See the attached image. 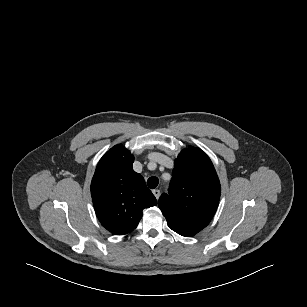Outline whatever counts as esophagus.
<instances>
[{"label": "esophagus", "mask_w": 307, "mask_h": 307, "mask_svg": "<svg viewBox=\"0 0 307 307\" xmlns=\"http://www.w3.org/2000/svg\"><path fill=\"white\" fill-rule=\"evenodd\" d=\"M152 193L154 194V196L156 197V199L158 200L159 199V197H160V190H158V189H154L153 191H152Z\"/></svg>", "instance_id": "obj_1"}]
</instances>
